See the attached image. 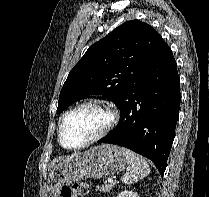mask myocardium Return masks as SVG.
Segmentation results:
<instances>
[{
	"instance_id": "1",
	"label": "myocardium",
	"mask_w": 209,
	"mask_h": 197,
	"mask_svg": "<svg viewBox=\"0 0 209 197\" xmlns=\"http://www.w3.org/2000/svg\"><path fill=\"white\" fill-rule=\"evenodd\" d=\"M86 106L97 107V108L104 110L107 113L108 120H107L105 126L98 133H96L94 136H92L91 138H89L85 142H83L77 146H73V147L65 146L62 142V130H63V126H64L66 119L71 114H73L75 111L79 110L80 108L86 107ZM117 120H118V112H117V109L113 103L103 100V99H99V98H91V99L84 100V101L78 103L77 105H75L74 107H72L70 110H68L62 116V118L60 120L59 128H58V132H57L58 142L63 148L68 149V150H78V149L87 147V146L101 140L102 138H104L112 130V128L116 125Z\"/></svg>"
}]
</instances>
